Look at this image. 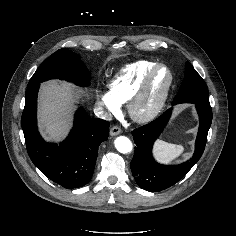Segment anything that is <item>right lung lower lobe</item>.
<instances>
[{"mask_svg":"<svg viewBox=\"0 0 236 236\" xmlns=\"http://www.w3.org/2000/svg\"><path fill=\"white\" fill-rule=\"evenodd\" d=\"M40 84L27 87L22 113L26 148L32 162L52 181L73 189L87 184L93 174L99 145L109 135L108 121L95 118L79 109L74 127L60 145L45 142L37 129V93Z\"/></svg>","mask_w":236,"mask_h":236,"instance_id":"obj_1","label":"right lung lower lobe"}]
</instances>
